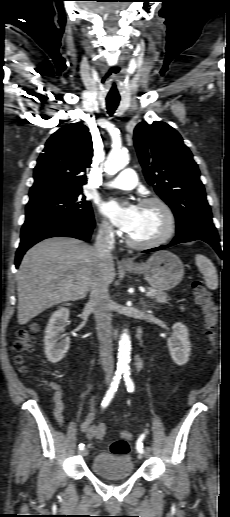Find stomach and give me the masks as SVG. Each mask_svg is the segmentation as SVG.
I'll return each mask as SVG.
<instances>
[{
  "instance_id": "1",
  "label": "stomach",
  "mask_w": 230,
  "mask_h": 517,
  "mask_svg": "<svg viewBox=\"0 0 230 517\" xmlns=\"http://www.w3.org/2000/svg\"><path fill=\"white\" fill-rule=\"evenodd\" d=\"M126 270L142 274L152 288L161 291L174 288L184 276L182 261L169 251L156 252L145 263L126 267Z\"/></svg>"
}]
</instances>
